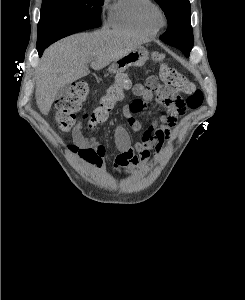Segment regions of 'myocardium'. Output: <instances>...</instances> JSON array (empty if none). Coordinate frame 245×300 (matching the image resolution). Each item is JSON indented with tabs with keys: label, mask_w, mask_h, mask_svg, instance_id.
Listing matches in <instances>:
<instances>
[{
	"label": "myocardium",
	"mask_w": 245,
	"mask_h": 300,
	"mask_svg": "<svg viewBox=\"0 0 245 300\" xmlns=\"http://www.w3.org/2000/svg\"><path fill=\"white\" fill-rule=\"evenodd\" d=\"M143 20L147 26L155 30H159L166 25L164 11L155 4L150 5L144 10Z\"/></svg>",
	"instance_id": "obj_1"
}]
</instances>
